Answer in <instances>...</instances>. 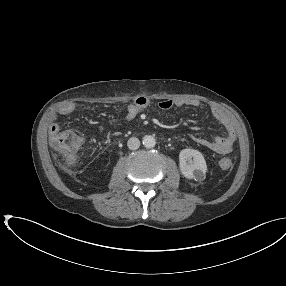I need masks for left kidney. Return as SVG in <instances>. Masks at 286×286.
Wrapping results in <instances>:
<instances>
[{
	"label": "left kidney",
	"instance_id": "1",
	"mask_svg": "<svg viewBox=\"0 0 286 286\" xmlns=\"http://www.w3.org/2000/svg\"><path fill=\"white\" fill-rule=\"evenodd\" d=\"M179 167L187 179L202 181L206 177L207 164L201 152L194 149H183L179 154Z\"/></svg>",
	"mask_w": 286,
	"mask_h": 286
}]
</instances>
